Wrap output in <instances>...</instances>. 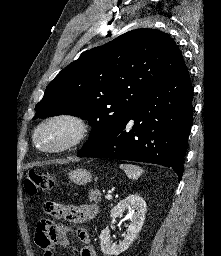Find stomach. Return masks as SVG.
<instances>
[{
	"label": "stomach",
	"instance_id": "obj_1",
	"mask_svg": "<svg viewBox=\"0 0 221 256\" xmlns=\"http://www.w3.org/2000/svg\"><path fill=\"white\" fill-rule=\"evenodd\" d=\"M71 182L77 185H85L92 181V174L83 168H78L69 173Z\"/></svg>",
	"mask_w": 221,
	"mask_h": 256
}]
</instances>
